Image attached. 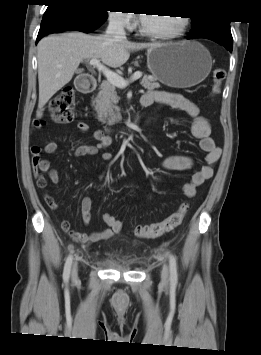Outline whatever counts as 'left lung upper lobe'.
<instances>
[{
	"label": "left lung upper lobe",
	"mask_w": 261,
	"mask_h": 355,
	"mask_svg": "<svg viewBox=\"0 0 261 355\" xmlns=\"http://www.w3.org/2000/svg\"><path fill=\"white\" fill-rule=\"evenodd\" d=\"M207 34L231 36L230 21L192 18V30L189 35L192 37H198Z\"/></svg>",
	"instance_id": "1"
}]
</instances>
